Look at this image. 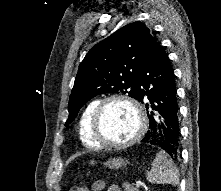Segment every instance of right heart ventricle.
<instances>
[{"mask_svg": "<svg viewBox=\"0 0 221 191\" xmlns=\"http://www.w3.org/2000/svg\"><path fill=\"white\" fill-rule=\"evenodd\" d=\"M99 104L98 100L90 101L84 108L78 122V132L81 143L87 148H99L100 146L95 142L91 135V122L94 111Z\"/></svg>", "mask_w": 221, "mask_h": 191, "instance_id": "e07e8e85", "label": "right heart ventricle"}]
</instances>
